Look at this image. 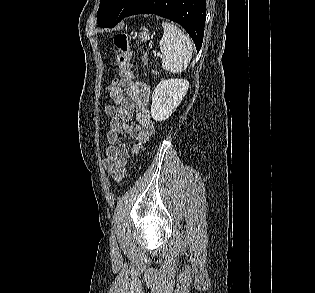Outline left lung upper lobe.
I'll list each match as a JSON object with an SVG mask.
<instances>
[{
    "label": "left lung upper lobe",
    "instance_id": "5c2ea615",
    "mask_svg": "<svg viewBox=\"0 0 315 293\" xmlns=\"http://www.w3.org/2000/svg\"><path fill=\"white\" fill-rule=\"evenodd\" d=\"M141 0H101L97 12L100 27L112 28L124 19Z\"/></svg>",
    "mask_w": 315,
    "mask_h": 293
}]
</instances>
